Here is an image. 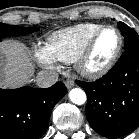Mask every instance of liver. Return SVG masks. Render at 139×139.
Wrapping results in <instances>:
<instances>
[{"label": "liver", "instance_id": "liver-1", "mask_svg": "<svg viewBox=\"0 0 139 139\" xmlns=\"http://www.w3.org/2000/svg\"><path fill=\"white\" fill-rule=\"evenodd\" d=\"M33 69L23 43L9 40L0 43V87L16 88L27 84Z\"/></svg>", "mask_w": 139, "mask_h": 139}]
</instances>
